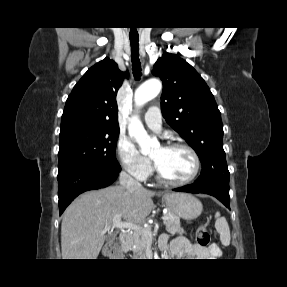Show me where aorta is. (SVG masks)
<instances>
[{"mask_svg": "<svg viewBox=\"0 0 287 287\" xmlns=\"http://www.w3.org/2000/svg\"><path fill=\"white\" fill-rule=\"evenodd\" d=\"M162 85L160 81L153 79L143 83L136 89L134 94V101L136 107H141L148 101L155 98L161 91ZM128 132L131 137L138 143L140 150L143 154L150 153L151 149L158 145L156 139L150 138L143 127L139 117L133 116L128 125Z\"/></svg>", "mask_w": 287, "mask_h": 287, "instance_id": "aorta-1", "label": "aorta"}]
</instances>
